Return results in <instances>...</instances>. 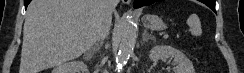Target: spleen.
<instances>
[{"mask_svg": "<svg viewBox=\"0 0 244 73\" xmlns=\"http://www.w3.org/2000/svg\"><path fill=\"white\" fill-rule=\"evenodd\" d=\"M187 24L190 27L191 34L198 37L202 34L201 22L196 14H191L187 19Z\"/></svg>", "mask_w": 244, "mask_h": 73, "instance_id": "spleen-1", "label": "spleen"}]
</instances>
